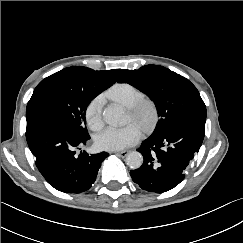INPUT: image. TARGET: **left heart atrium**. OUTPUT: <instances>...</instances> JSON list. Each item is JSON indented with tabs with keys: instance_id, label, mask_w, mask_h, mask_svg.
Listing matches in <instances>:
<instances>
[{
	"instance_id": "39dd6f15",
	"label": "left heart atrium",
	"mask_w": 243,
	"mask_h": 243,
	"mask_svg": "<svg viewBox=\"0 0 243 243\" xmlns=\"http://www.w3.org/2000/svg\"><path fill=\"white\" fill-rule=\"evenodd\" d=\"M142 136L135 122L123 127H108L96 137V145L103 150H122L137 143Z\"/></svg>"
}]
</instances>
